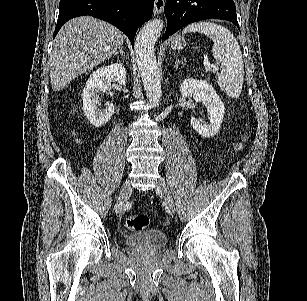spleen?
<instances>
[{
	"mask_svg": "<svg viewBox=\"0 0 307 301\" xmlns=\"http://www.w3.org/2000/svg\"><path fill=\"white\" fill-rule=\"evenodd\" d=\"M182 32H203L213 40V56L221 64L217 82L228 96L239 98L244 82V66L241 48L234 34L216 22H192Z\"/></svg>",
	"mask_w": 307,
	"mask_h": 301,
	"instance_id": "1",
	"label": "spleen"
}]
</instances>
